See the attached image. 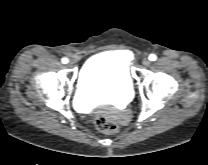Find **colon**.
Masks as SVG:
<instances>
[{
	"label": "colon",
	"instance_id": "obj_1",
	"mask_svg": "<svg viewBox=\"0 0 208 165\" xmlns=\"http://www.w3.org/2000/svg\"><path fill=\"white\" fill-rule=\"evenodd\" d=\"M95 124L99 131L106 134H112L118 130V125L114 118L105 111H101L97 114Z\"/></svg>",
	"mask_w": 208,
	"mask_h": 165
}]
</instances>
